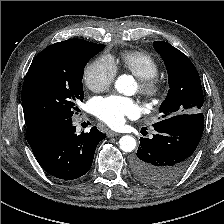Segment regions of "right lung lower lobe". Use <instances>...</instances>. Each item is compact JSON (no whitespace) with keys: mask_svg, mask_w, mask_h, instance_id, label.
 <instances>
[{"mask_svg":"<svg viewBox=\"0 0 224 224\" xmlns=\"http://www.w3.org/2000/svg\"><path fill=\"white\" fill-rule=\"evenodd\" d=\"M26 138L47 173L73 180L88 172L97 144L106 135L95 126L78 135L72 118L47 117L28 124Z\"/></svg>","mask_w":224,"mask_h":224,"instance_id":"98d812e1","label":"right lung lower lobe"}]
</instances>
